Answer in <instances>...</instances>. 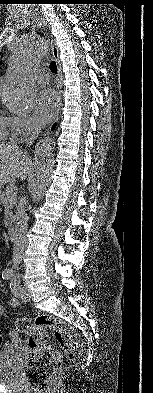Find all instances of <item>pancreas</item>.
<instances>
[{
	"mask_svg": "<svg viewBox=\"0 0 153 393\" xmlns=\"http://www.w3.org/2000/svg\"><path fill=\"white\" fill-rule=\"evenodd\" d=\"M14 185L7 186L2 194L0 195V204L4 206V214H5V227L9 228L12 226L14 222V214L13 209L17 206V193H10L9 191Z\"/></svg>",
	"mask_w": 153,
	"mask_h": 393,
	"instance_id": "cf45deb5",
	"label": "pancreas"
}]
</instances>
